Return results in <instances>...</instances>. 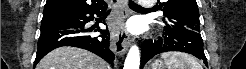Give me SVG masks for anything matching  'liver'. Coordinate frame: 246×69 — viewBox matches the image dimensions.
Instances as JSON below:
<instances>
[{"label": "liver", "instance_id": "1", "mask_svg": "<svg viewBox=\"0 0 246 69\" xmlns=\"http://www.w3.org/2000/svg\"><path fill=\"white\" fill-rule=\"evenodd\" d=\"M95 54L74 47H60L48 53L36 69H109Z\"/></svg>", "mask_w": 246, "mask_h": 69}]
</instances>
